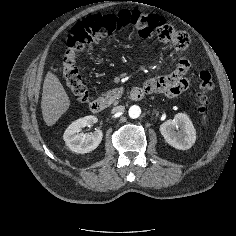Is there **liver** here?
Instances as JSON below:
<instances>
[{
    "label": "liver",
    "instance_id": "6515ba94",
    "mask_svg": "<svg viewBox=\"0 0 236 236\" xmlns=\"http://www.w3.org/2000/svg\"><path fill=\"white\" fill-rule=\"evenodd\" d=\"M70 99L59 78L48 71L43 83L41 109L44 122L53 126L68 110Z\"/></svg>",
    "mask_w": 236,
    "mask_h": 236
}]
</instances>
